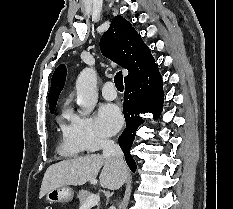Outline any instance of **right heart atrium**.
Instances as JSON below:
<instances>
[{
	"mask_svg": "<svg viewBox=\"0 0 233 209\" xmlns=\"http://www.w3.org/2000/svg\"><path fill=\"white\" fill-rule=\"evenodd\" d=\"M65 136L84 151H97L111 143V139L99 130L92 117L75 113L69 115Z\"/></svg>",
	"mask_w": 233,
	"mask_h": 209,
	"instance_id": "obj_1",
	"label": "right heart atrium"
}]
</instances>
